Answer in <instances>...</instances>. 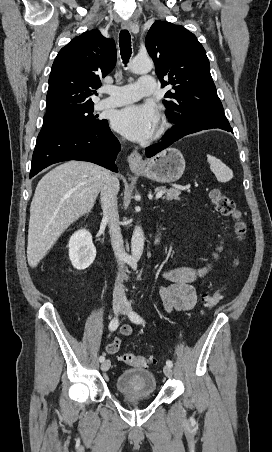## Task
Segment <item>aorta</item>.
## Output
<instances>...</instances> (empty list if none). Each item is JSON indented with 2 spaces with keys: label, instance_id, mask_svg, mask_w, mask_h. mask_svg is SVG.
Instances as JSON below:
<instances>
[{
  "label": "aorta",
  "instance_id": "aorta-1",
  "mask_svg": "<svg viewBox=\"0 0 272 452\" xmlns=\"http://www.w3.org/2000/svg\"><path fill=\"white\" fill-rule=\"evenodd\" d=\"M130 68L134 73H148L153 68V61L148 57H136L131 62ZM144 241L145 237L142 228L140 226H136L131 239V252L134 261H138L140 259L144 248Z\"/></svg>",
  "mask_w": 272,
  "mask_h": 452
}]
</instances>
